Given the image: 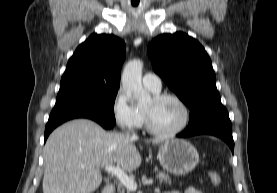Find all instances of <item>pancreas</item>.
<instances>
[{"instance_id":"1","label":"pancreas","mask_w":277,"mask_h":193,"mask_svg":"<svg viewBox=\"0 0 277 193\" xmlns=\"http://www.w3.org/2000/svg\"><path fill=\"white\" fill-rule=\"evenodd\" d=\"M157 178L159 179L160 184L161 183H169L171 184V178L166 172H158ZM117 193H129L126 187L123 184H120L117 188Z\"/></svg>"}]
</instances>
